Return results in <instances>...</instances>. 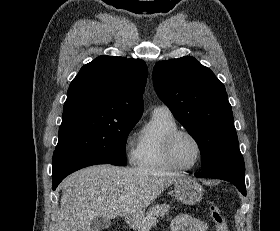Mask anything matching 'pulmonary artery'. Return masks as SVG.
Segmentation results:
<instances>
[{"label":"pulmonary artery","instance_id":"e3ab8cb5","mask_svg":"<svg viewBox=\"0 0 280 231\" xmlns=\"http://www.w3.org/2000/svg\"><path fill=\"white\" fill-rule=\"evenodd\" d=\"M155 110H156V111L170 112V110L168 109V107H167V106H164V105L155 107Z\"/></svg>","mask_w":280,"mask_h":231}]
</instances>
